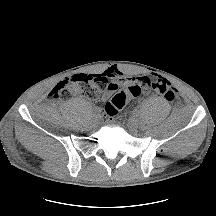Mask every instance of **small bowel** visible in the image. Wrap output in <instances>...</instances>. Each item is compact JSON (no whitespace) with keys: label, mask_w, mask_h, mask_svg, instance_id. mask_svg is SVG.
I'll list each match as a JSON object with an SVG mask.
<instances>
[{"label":"small bowel","mask_w":216,"mask_h":216,"mask_svg":"<svg viewBox=\"0 0 216 216\" xmlns=\"http://www.w3.org/2000/svg\"><path fill=\"white\" fill-rule=\"evenodd\" d=\"M108 81V87L102 94V100H108L120 87H129L136 85L144 76H131L117 67H110L106 69L102 74ZM140 94V93H139ZM139 94L133 96L132 98H137Z\"/></svg>","instance_id":"c3829d8e"}]
</instances>
